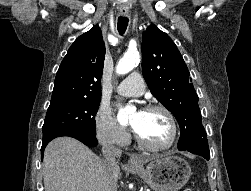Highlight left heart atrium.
<instances>
[{"label":"left heart atrium","instance_id":"obj_1","mask_svg":"<svg viewBox=\"0 0 251 191\" xmlns=\"http://www.w3.org/2000/svg\"><path fill=\"white\" fill-rule=\"evenodd\" d=\"M144 112L145 111H143V110H139L135 116V121L133 122V128L135 131H137V128L139 126V122H140Z\"/></svg>","mask_w":251,"mask_h":191}]
</instances>
